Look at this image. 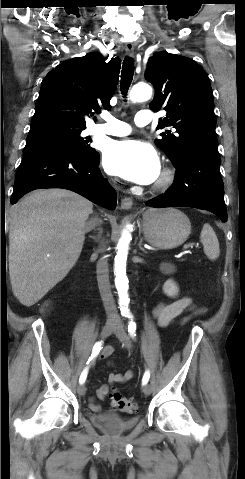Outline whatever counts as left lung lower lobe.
Returning a JSON list of instances; mask_svg holds the SVG:
<instances>
[{
    "mask_svg": "<svg viewBox=\"0 0 245 479\" xmlns=\"http://www.w3.org/2000/svg\"><path fill=\"white\" fill-rule=\"evenodd\" d=\"M217 150H200L185 156L177 165L173 185L154 199L150 207L186 206L208 210L227 221L224 185L220 176Z\"/></svg>",
    "mask_w": 245,
    "mask_h": 479,
    "instance_id": "left-lung-lower-lobe-1",
    "label": "left lung lower lobe"
}]
</instances>
